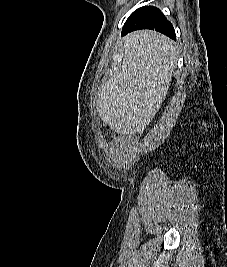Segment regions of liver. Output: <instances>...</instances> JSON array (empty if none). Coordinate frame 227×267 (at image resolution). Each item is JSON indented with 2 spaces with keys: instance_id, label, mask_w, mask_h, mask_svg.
Listing matches in <instances>:
<instances>
[{
  "instance_id": "liver-1",
  "label": "liver",
  "mask_w": 227,
  "mask_h": 267,
  "mask_svg": "<svg viewBox=\"0 0 227 267\" xmlns=\"http://www.w3.org/2000/svg\"><path fill=\"white\" fill-rule=\"evenodd\" d=\"M174 42L155 31H136L124 38L121 70L110 74L98 93V114L120 134L142 131L168 93L175 69Z\"/></svg>"
}]
</instances>
